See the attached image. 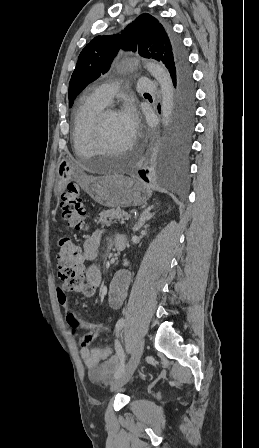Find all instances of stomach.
I'll use <instances>...</instances> for the list:
<instances>
[{
  "instance_id": "1",
  "label": "stomach",
  "mask_w": 259,
  "mask_h": 448,
  "mask_svg": "<svg viewBox=\"0 0 259 448\" xmlns=\"http://www.w3.org/2000/svg\"><path fill=\"white\" fill-rule=\"evenodd\" d=\"M76 168L68 158H62L56 168V180L54 184L55 196L63 194L67 188V184L72 182L75 176Z\"/></svg>"
}]
</instances>
